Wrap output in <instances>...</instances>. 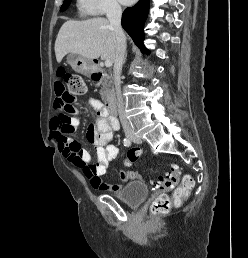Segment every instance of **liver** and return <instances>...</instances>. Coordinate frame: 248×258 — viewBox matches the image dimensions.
<instances>
[{"mask_svg":"<svg viewBox=\"0 0 248 258\" xmlns=\"http://www.w3.org/2000/svg\"><path fill=\"white\" fill-rule=\"evenodd\" d=\"M116 35L105 18L85 21H67L55 41L56 60L60 63L67 54H76L89 60L100 56L114 61Z\"/></svg>","mask_w":248,"mask_h":258,"instance_id":"6515ba94","label":"liver"}]
</instances>
